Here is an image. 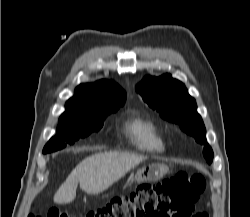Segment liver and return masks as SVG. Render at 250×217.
Returning a JSON list of instances; mask_svg holds the SVG:
<instances>
[{
	"instance_id": "1",
	"label": "liver",
	"mask_w": 250,
	"mask_h": 217,
	"mask_svg": "<svg viewBox=\"0 0 250 217\" xmlns=\"http://www.w3.org/2000/svg\"><path fill=\"white\" fill-rule=\"evenodd\" d=\"M143 161V156L122 152L91 155L73 169L53 200L57 204L71 203L76 197L78 184L88 194L103 192Z\"/></svg>"
}]
</instances>
